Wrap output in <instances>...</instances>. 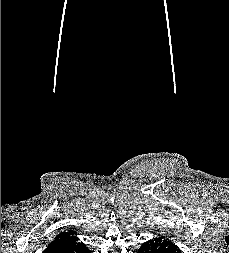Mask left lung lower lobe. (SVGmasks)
<instances>
[{
	"instance_id": "obj_1",
	"label": "left lung lower lobe",
	"mask_w": 229,
	"mask_h": 253,
	"mask_svg": "<svg viewBox=\"0 0 229 253\" xmlns=\"http://www.w3.org/2000/svg\"><path fill=\"white\" fill-rule=\"evenodd\" d=\"M138 253H181V250L172 241L157 237L143 243Z\"/></svg>"
}]
</instances>
